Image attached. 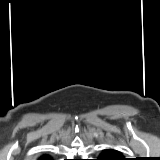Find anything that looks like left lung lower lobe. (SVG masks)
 <instances>
[{"instance_id": "0a47b994", "label": "left lung lower lobe", "mask_w": 160, "mask_h": 160, "mask_svg": "<svg viewBox=\"0 0 160 160\" xmlns=\"http://www.w3.org/2000/svg\"><path fill=\"white\" fill-rule=\"evenodd\" d=\"M97 160H126V158H123L122 154L117 150L106 149L102 151Z\"/></svg>"}]
</instances>
